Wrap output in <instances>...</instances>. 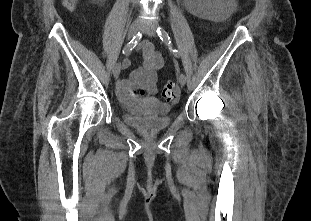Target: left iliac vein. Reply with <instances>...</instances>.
I'll return each instance as SVG.
<instances>
[{
    "label": "left iliac vein",
    "mask_w": 311,
    "mask_h": 221,
    "mask_svg": "<svg viewBox=\"0 0 311 221\" xmlns=\"http://www.w3.org/2000/svg\"><path fill=\"white\" fill-rule=\"evenodd\" d=\"M142 30L148 35V36H151V37H154L156 35V27L152 24H149V23H145L143 24L142 26ZM178 81L180 83L181 86H184L186 84V76L181 73L179 76H178Z\"/></svg>",
    "instance_id": "1"
}]
</instances>
